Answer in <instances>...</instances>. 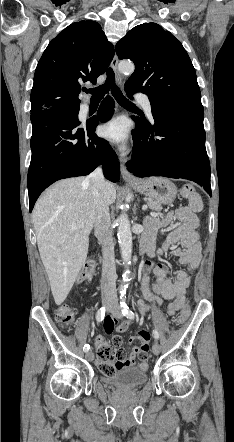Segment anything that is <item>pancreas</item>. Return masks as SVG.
<instances>
[{
    "mask_svg": "<svg viewBox=\"0 0 234 442\" xmlns=\"http://www.w3.org/2000/svg\"><path fill=\"white\" fill-rule=\"evenodd\" d=\"M147 205H148V208L151 210L161 211L163 209L160 202L152 200V199H148Z\"/></svg>",
    "mask_w": 234,
    "mask_h": 442,
    "instance_id": "cf45deb5",
    "label": "pancreas"
}]
</instances>
